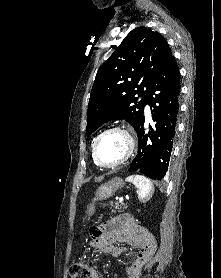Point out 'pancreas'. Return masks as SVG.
<instances>
[{
  "instance_id": "obj_1",
  "label": "pancreas",
  "mask_w": 221,
  "mask_h": 278,
  "mask_svg": "<svg viewBox=\"0 0 221 278\" xmlns=\"http://www.w3.org/2000/svg\"><path fill=\"white\" fill-rule=\"evenodd\" d=\"M126 206H122L121 204H119L118 202L115 203V205H111V212L112 213H116V212H122L124 211V209H126Z\"/></svg>"
}]
</instances>
